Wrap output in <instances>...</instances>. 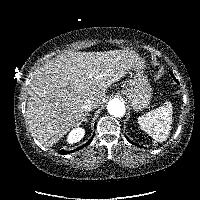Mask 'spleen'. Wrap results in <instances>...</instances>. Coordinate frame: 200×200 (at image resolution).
<instances>
[{"label":"spleen","mask_w":200,"mask_h":200,"mask_svg":"<svg viewBox=\"0 0 200 200\" xmlns=\"http://www.w3.org/2000/svg\"><path fill=\"white\" fill-rule=\"evenodd\" d=\"M172 103L164 105L138 118L140 128L157 142L166 141L171 132Z\"/></svg>","instance_id":"3e777b00"}]
</instances>
